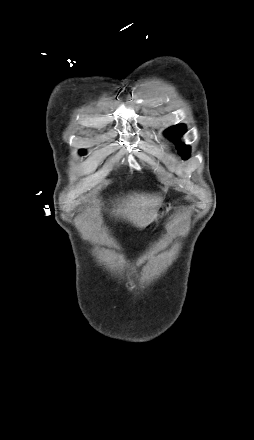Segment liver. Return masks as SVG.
Returning <instances> with one entry per match:
<instances>
[{"label":"liver","instance_id":"liver-1","mask_svg":"<svg viewBox=\"0 0 254 440\" xmlns=\"http://www.w3.org/2000/svg\"><path fill=\"white\" fill-rule=\"evenodd\" d=\"M162 201L163 198L157 194L134 193L122 200L112 213L130 221L136 227L144 228L153 221Z\"/></svg>","mask_w":254,"mask_h":440}]
</instances>
